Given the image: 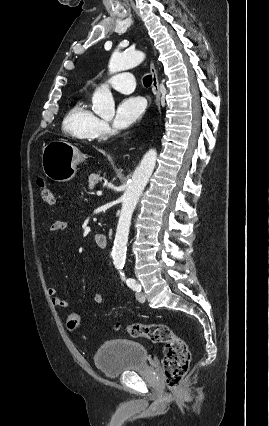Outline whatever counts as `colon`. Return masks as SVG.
Segmentation results:
<instances>
[{"label":"colon","mask_w":269,"mask_h":426,"mask_svg":"<svg viewBox=\"0 0 269 426\" xmlns=\"http://www.w3.org/2000/svg\"><path fill=\"white\" fill-rule=\"evenodd\" d=\"M37 183L42 200L52 204L54 202V192L51 186L42 177L38 178ZM78 323V318H72L68 322L72 330L78 326ZM115 330H123L132 337H145L153 343L164 344L163 371L166 386L172 391L179 388L189 369L190 352L185 341L175 335L169 326L166 324L143 323L116 324Z\"/></svg>","instance_id":"5ec220e1"}]
</instances>
